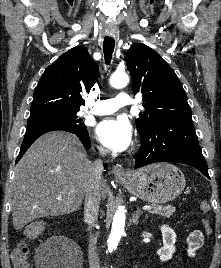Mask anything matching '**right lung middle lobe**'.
Instances as JSON below:
<instances>
[{"instance_id": "dd1d6c3e", "label": "right lung middle lobe", "mask_w": 221, "mask_h": 268, "mask_svg": "<svg viewBox=\"0 0 221 268\" xmlns=\"http://www.w3.org/2000/svg\"><path fill=\"white\" fill-rule=\"evenodd\" d=\"M81 121L82 119H78L77 117V111L58 112L30 116L27 126L60 125L70 128L87 129L85 124Z\"/></svg>"}]
</instances>
